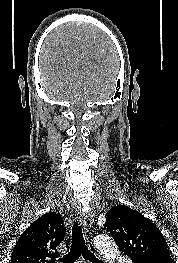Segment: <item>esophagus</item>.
<instances>
[{"label": "esophagus", "mask_w": 178, "mask_h": 263, "mask_svg": "<svg viewBox=\"0 0 178 263\" xmlns=\"http://www.w3.org/2000/svg\"><path fill=\"white\" fill-rule=\"evenodd\" d=\"M79 223L83 226V230L85 233L88 232L89 226H91L93 221V215L91 213L81 212L79 215ZM87 244L91 252H93L95 255H98L97 249L94 247L92 242L87 239Z\"/></svg>", "instance_id": "1"}]
</instances>
